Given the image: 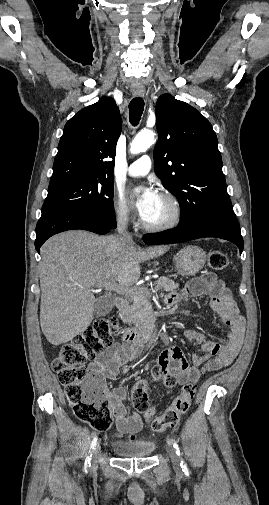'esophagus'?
Masks as SVG:
<instances>
[{
    "instance_id": "34e87169",
    "label": "esophagus",
    "mask_w": 269,
    "mask_h": 505,
    "mask_svg": "<svg viewBox=\"0 0 269 505\" xmlns=\"http://www.w3.org/2000/svg\"><path fill=\"white\" fill-rule=\"evenodd\" d=\"M132 94H133L135 97H142V96H144V94H145V90H144V89H133V90H132Z\"/></svg>"
}]
</instances>
